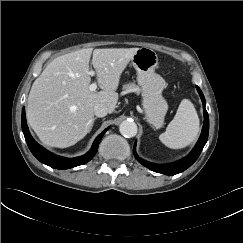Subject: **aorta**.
Listing matches in <instances>:
<instances>
[{
  "label": "aorta",
  "instance_id": "obj_1",
  "mask_svg": "<svg viewBox=\"0 0 243 243\" xmlns=\"http://www.w3.org/2000/svg\"><path fill=\"white\" fill-rule=\"evenodd\" d=\"M119 131L124 137L131 138L137 134L138 128L135 122L131 120H125L121 122Z\"/></svg>",
  "mask_w": 243,
  "mask_h": 243
}]
</instances>
